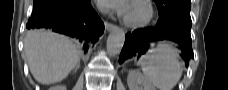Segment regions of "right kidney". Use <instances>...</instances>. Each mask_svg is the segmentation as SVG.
I'll list each match as a JSON object with an SVG mask.
<instances>
[{
	"label": "right kidney",
	"mask_w": 228,
	"mask_h": 90,
	"mask_svg": "<svg viewBox=\"0 0 228 90\" xmlns=\"http://www.w3.org/2000/svg\"><path fill=\"white\" fill-rule=\"evenodd\" d=\"M50 90H66L65 86H53Z\"/></svg>",
	"instance_id": "1"
}]
</instances>
